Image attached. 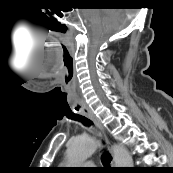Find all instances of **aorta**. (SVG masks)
<instances>
[{"instance_id":"obj_1","label":"aorta","mask_w":173,"mask_h":173,"mask_svg":"<svg viewBox=\"0 0 173 173\" xmlns=\"http://www.w3.org/2000/svg\"><path fill=\"white\" fill-rule=\"evenodd\" d=\"M97 149L96 139L83 136L76 137L70 143L67 150V160L70 165H76L84 162ZM115 167H132L133 159L129 151L120 145L113 146Z\"/></svg>"}]
</instances>
